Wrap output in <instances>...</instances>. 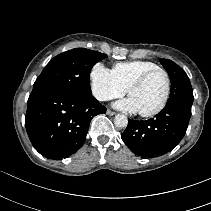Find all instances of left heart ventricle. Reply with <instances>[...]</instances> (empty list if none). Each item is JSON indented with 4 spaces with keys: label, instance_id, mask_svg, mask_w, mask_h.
Listing matches in <instances>:
<instances>
[{
    "label": "left heart ventricle",
    "instance_id": "obj_1",
    "mask_svg": "<svg viewBox=\"0 0 211 211\" xmlns=\"http://www.w3.org/2000/svg\"><path fill=\"white\" fill-rule=\"evenodd\" d=\"M166 91V77L163 73L153 74L141 87L135 89L130 98L138 112H148L162 102Z\"/></svg>",
    "mask_w": 211,
    "mask_h": 211
}]
</instances>
